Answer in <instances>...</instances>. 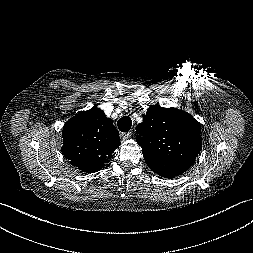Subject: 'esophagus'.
<instances>
[{
	"label": "esophagus",
	"mask_w": 253,
	"mask_h": 253,
	"mask_svg": "<svg viewBox=\"0 0 253 253\" xmlns=\"http://www.w3.org/2000/svg\"><path fill=\"white\" fill-rule=\"evenodd\" d=\"M132 136V132H127L122 134L123 140L129 139Z\"/></svg>",
	"instance_id": "esophagus-1"
}]
</instances>
